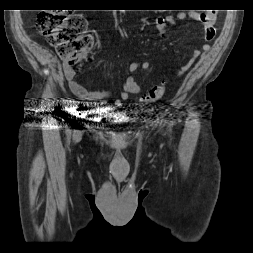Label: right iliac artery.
I'll use <instances>...</instances> for the list:
<instances>
[{"instance_id":"obj_1","label":"right iliac artery","mask_w":253,"mask_h":253,"mask_svg":"<svg viewBox=\"0 0 253 253\" xmlns=\"http://www.w3.org/2000/svg\"><path fill=\"white\" fill-rule=\"evenodd\" d=\"M66 127H69V124H66ZM67 132H70V129H67Z\"/></svg>"}]
</instances>
